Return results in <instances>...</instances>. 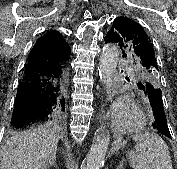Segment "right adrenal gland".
Masks as SVG:
<instances>
[{
    "instance_id": "2a0ac1e0",
    "label": "right adrenal gland",
    "mask_w": 177,
    "mask_h": 169,
    "mask_svg": "<svg viewBox=\"0 0 177 169\" xmlns=\"http://www.w3.org/2000/svg\"><path fill=\"white\" fill-rule=\"evenodd\" d=\"M54 156H55V159L52 162H50L47 165V167H55L56 169H58L57 164H56V153L54 154ZM47 167L45 169H47Z\"/></svg>"
}]
</instances>
